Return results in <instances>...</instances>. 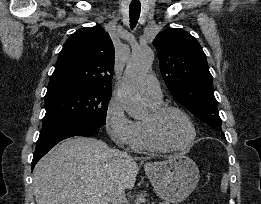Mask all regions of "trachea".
Masks as SVG:
<instances>
[{"label": "trachea", "mask_w": 261, "mask_h": 204, "mask_svg": "<svg viewBox=\"0 0 261 204\" xmlns=\"http://www.w3.org/2000/svg\"><path fill=\"white\" fill-rule=\"evenodd\" d=\"M140 10H141V5H133L131 4L129 6V18H130V26L133 29L139 19L140 16Z\"/></svg>", "instance_id": "1"}]
</instances>
